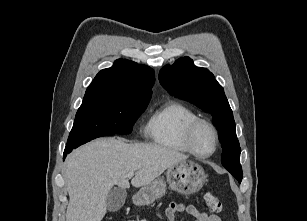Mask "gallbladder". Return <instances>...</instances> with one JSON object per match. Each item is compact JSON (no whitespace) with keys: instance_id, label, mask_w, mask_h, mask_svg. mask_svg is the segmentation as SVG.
<instances>
[{"instance_id":"bac80fb5","label":"gallbladder","mask_w":307,"mask_h":221,"mask_svg":"<svg viewBox=\"0 0 307 221\" xmlns=\"http://www.w3.org/2000/svg\"><path fill=\"white\" fill-rule=\"evenodd\" d=\"M127 192L124 188L114 187L106 198V206L110 212L118 211L125 203Z\"/></svg>"}]
</instances>
